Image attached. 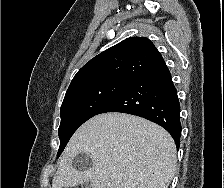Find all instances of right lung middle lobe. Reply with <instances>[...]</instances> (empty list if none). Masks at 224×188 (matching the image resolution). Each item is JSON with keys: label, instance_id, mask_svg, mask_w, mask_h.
Wrapping results in <instances>:
<instances>
[{"label": "right lung middle lobe", "instance_id": "dd1d6c3e", "mask_svg": "<svg viewBox=\"0 0 224 188\" xmlns=\"http://www.w3.org/2000/svg\"><path fill=\"white\" fill-rule=\"evenodd\" d=\"M133 79L111 77L69 86L61 106V124L58 130L60 147L64 150L73 133L85 121L97 115L107 103L122 92Z\"/></svg>", "mask_w": 224, "mask_h": 188}]
</instances>
